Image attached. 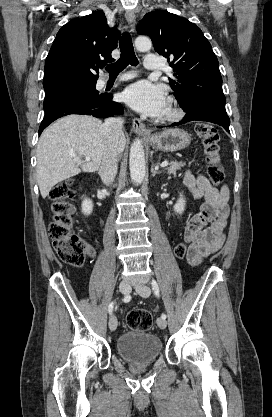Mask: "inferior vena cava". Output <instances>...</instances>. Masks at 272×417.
Wrapping results in <instances>:
<instances>
[{
  "label": "inferior vena cava",
  "instance_id": "inferior-vena-cava-1",
  "mask_svg": "<svg viewBox=\"0 0 272 417\" xmlns=\"http://www.w3.org/2000/svg\"><path fill=\"white\" fill-rule=\"evenodd\" d=\"M124 119L122 117H110L103 123L106 146L104 149L99 175L105 185H110L117 174V154L119 138L123 135Z\"/></svg>",
  "mask_w": 272,
  "mask_h": 417
}]
</instances>
